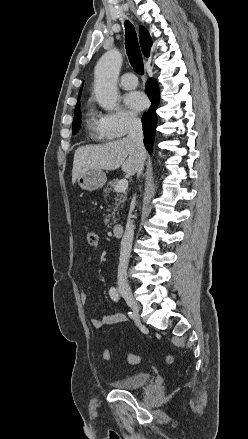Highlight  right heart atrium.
<instances>
[{
  "instance_id": "obj_1",
  "label": "right heart atrium",
  "mask_w": 248,
  "mask_h": 439,
  "mask_svg": "<svg viewBox=\"0 0 248 439\" xmlns=\"http://www.w3.org/2000/svg\"><path fill=\"white\" fill-rule=\"evenodd\" d=\"M98 123L103 136L107 138H120L135 129L139 125L140 120L134 112L121 108L100 114Z\"/></svg>"
}]
</instances>
